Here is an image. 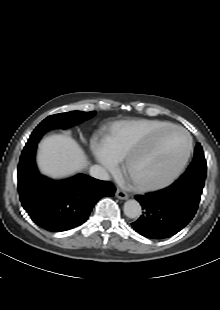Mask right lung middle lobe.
Masks as SVG:
<instances>
[{
  "instance_id": "right-lung-middle-lobe-1",
  "label": "right lung middle lobe",
  "mask_w": 220,
  "mask_h": 310,
  "mask_svg": "<svg viewBox=\"0 0 220 310\" xmlns=\"http://www.w3.org/2000/svg\"><path fill=\"white\" fill-rule=\"evenodd\" d=\"M96 114L92 112L71 111L55 114L44 119L31 134L28 143L38 142L41 136L48 130L54 128H68L73 124L81 123Z\"/></svg>"
}]
</instances>
